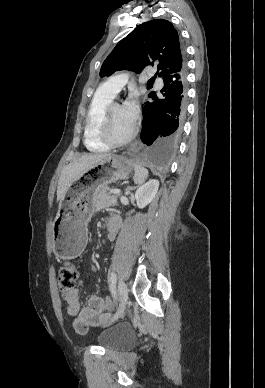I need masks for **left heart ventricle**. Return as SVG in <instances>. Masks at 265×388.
<instances>
[{
    "label": "left heart ventricle",
    "mask_w": 265,
    "mask_h": 388,
    "mask_svg": "<svg viewBox=\"0 0 265 388\" xmlns=\"http://www.w3.org/2000/svg\"><path fill=\"white\" fill-rule=\"evenodd\" d=\"M109 131L116 137H122L127 134L131 128L130 124L125 118L123 108L121 106H115L109 115L108 120Z\"/></svg>",
    "instance_id": "1"
}]
</instances>
